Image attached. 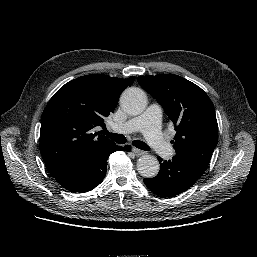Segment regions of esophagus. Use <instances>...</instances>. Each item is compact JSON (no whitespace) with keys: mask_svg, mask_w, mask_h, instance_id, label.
Returning <instances> with one entry per match:
<instances>
[{"mask_svg":"<svg viewBox=\"0 0 257 257\" xmlns=\"http://www.w3.org/2000/svg\"><path fill=\"white\" fill-rule=\"evenodd\" d=\"M132 152L136 155V156H141L144 154V151L136 148V147H132Z\"/></svg>","mask_w":257,"mask_h":257,"instance_id":"34e87169","label":"esophagus"}]
</instances>
